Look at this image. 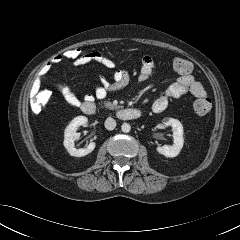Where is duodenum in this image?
<instances>
[{
    "label": "duodenum",
    "mask_w": 240,
    "mask_h": 240,
    "mask_svg": "<svg viewBox=\"0 0 240 240\" xmlns=\"http://www.w3.org/2000/svg\"><path fill=\"white\" fill-rule=\"evenodd\" d=\"M81 110L87 115H94L98 112L99 107L92 101H85L81 105ZM113 114L120 120H135L141 117L142 112L136 108H120Z\"/></svg>",
    "instance_id": "410a0bca"
}]
</instances>
